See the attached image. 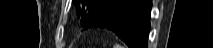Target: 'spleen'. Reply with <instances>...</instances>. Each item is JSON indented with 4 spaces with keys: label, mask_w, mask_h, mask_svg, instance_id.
<instances>
[{
    "label": "spleen",
    "mask_w": 213,
    "mask_h": 48,
    "mask_svg": "<svg viewBox=\"0 0 213 48\" xmlns=\"http://www.w3.org/2000/svg\"><path fill=\"white\" fill-rule=\"evenodd\" d=\"M113 48H124V46H121L120 44L115 43V44L113 45Z\"/></svg>",
    "instance_id": "1"
}]
</instances>
